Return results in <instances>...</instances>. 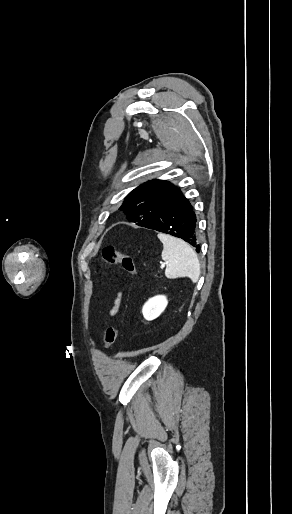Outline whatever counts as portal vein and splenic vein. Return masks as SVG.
I'll list each match as a JSON object with an SVG mask.
<instances>
[{
    "mask_svg": "<svg viewBox=\"0 0 292 514\" xmlns=\"http://www.w3.org/2000/svg\"><path fill=\"white\" fill-rule=\"evenodd\" d=\"M168 262H165V264H162V268H164V266H167Z\"/></svg>",
    "mask_w": 292,
    "mask_h": 514,
    "instance_id": "portal-vein-and-splenic-vein-1",
    "label": "portal vein and splenic vein"
}]
</instances>
